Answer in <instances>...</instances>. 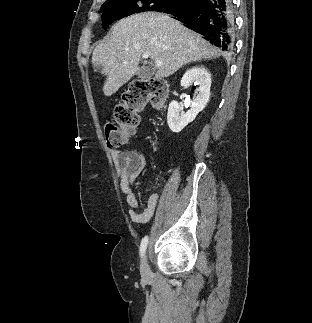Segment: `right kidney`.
Returning a JSON list of instances; mask_svg holds the SVG:
<instances>
[{"label":"right kidney","mask_w":312,"mask_h":323,"mask_svg":"<svg viewBox=\"0 0 312 323\" xmlns=\"http://www.w3.org/2000/svg\"><path fill=\"white\" fill-rule=\"evenodd\" d=\"M191 84L199 86L194 92V100L192 102L191 110L183 112L178 102H171L168 108L167 124L172 132H181L189 122L195 120L197 114L204 110L210 98L211 76L204 66H193L190 70L185 72L181 86L188 88Z\"/></svg>","instance_id":"obj_1"}]
</instances>
